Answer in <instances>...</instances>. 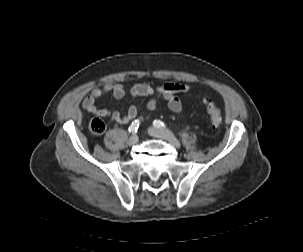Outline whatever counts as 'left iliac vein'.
I'll return each mask as SVG.
<instances>
[{
    "label": "left iliac vein",
    "mask_w": 303,
    "mask_h": 252,
    "mask_svg": "<svg viewBox=\"0 0 303 252\" xmlns=\"http://www.w3.org/2000/svg\"><path fill=\"white\" fill-rule=\"evenodd\" d=\"M149 133H150V135H152L154 137L161 138V139H164V140L168 141L175 148H180L181 147L180 142L168 130L152 127V128L149 129Z\"/></svg>",
    "instance_id": "4c4485c4"
}]
</instances>
